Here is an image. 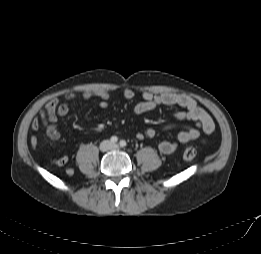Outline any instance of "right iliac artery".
<instances>
[{
	"label": "right iliac artery",
	"mask_w": 261,
	"mask_h": 254,
	"mask_svg": "<svg viewBox=\"0 0 261 254\" xmlns=\"http://www.w3.org/2000/svg\"><path fill=\"white\" fill-rule=\"evenodd\" d=\"M110 141H111L112 143H116V142L118 141V138H117L116 136H112L111 139H110Z\"/></svg>",
	"instance_id": "obj_1"
}]
</instances>
